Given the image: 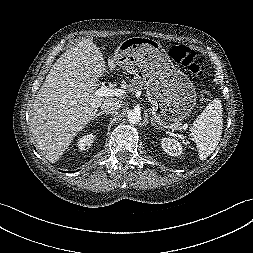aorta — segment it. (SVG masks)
Returning a JSON list of instances; mask_svg holds the SVG:
<instances>
[{
    "label": "aorta",
    "instance_id": "obj_1",
    "mask_svg": "<svg viewBox=\"0 0 253 253\" xmlns=\"http://www.w3.org/2000/svg\"><path fill=\"white\" fill-rule=\"evenodd\" d=\"M128 121L132 124H137L141 120V115L137 111H130L127 115Z\"/></svg>",
    "mask_w": 253,
    "mask_h": 253
}]
</instances>
